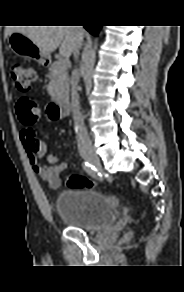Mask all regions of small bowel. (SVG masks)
Instances as JSON below:
<instances>
[{
    "label": "small bowel",
    "mask_w": 184,
    "mask_h": 292,
    "mask_svg": "<svg viewBox=\"0 0 184 292\" xmlns=\"http://www.w3.org/2000/svg\"><path fill=\"white\" fill-rule=\"evenodd\" d=\"M19 138L34 172L50 188L59 187L62 183L61 175L66 170L67 164L61 162L60 157L55 153L47 155L48 165L41 162L46 152V145L37 139L35 131L30 126L23 125Z\"/></svg>",
    "instance_id": "1"
}]
</instances>
